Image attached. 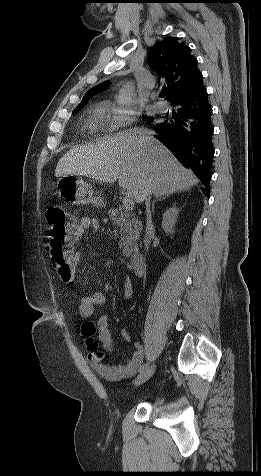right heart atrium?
Masks as SVG:
<instances>
[{"instance_id": "d8ad5b80", "label": "right heart atrium", "mask_w": 261, "mask_h": 476, "mask_svg": "<svg viewBox=\"0 0 261 476\" xmlns=\"http://www.w3.org/2000/svg\"><path fill=\"white\" fill-rule=\"evenodd\" d=\"M105 108L110 114L108 119L110 130L114 131L128 127L136 120L137 112L131 108L114 103H107Z\"/></svg>"}]
</instances>
